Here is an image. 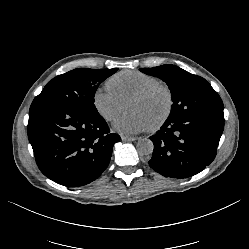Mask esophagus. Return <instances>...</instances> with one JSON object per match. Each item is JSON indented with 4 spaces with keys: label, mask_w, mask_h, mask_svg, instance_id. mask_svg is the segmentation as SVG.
Returning <instances> with one entry per match:
<instances>
[{
    "label": "esophagus",
    "mask_w": 249,
    "mask_h": 249,
    "mask_svg": "<svg viewBox=\"0 0 249 249\" xmlns=\"http://www.w3.org/2000/svg\"><path fill=\"white\" fill-rule=\"evenodd\" d=\"M121 140L124 141V142H131V141H135L136 138L135 137L126 136V135H122L121 136Z\"/></svg>",
    "instance_id": "34e87169"
}]
</instances>
